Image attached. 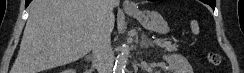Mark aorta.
<instances>
[{
  "mask_svg": "<svg viewBox=\"0 0 244 73\" xmlns=\"http://www.w3.org/2000/svg\"><path fill=\"white\" fill-rule=\"evenodd\" d=\"M130 49L129 45H124L121 48V53L117 56L115 65H114V73H124L125 67L127 63V58L129 56Z\"/></svg>",
  "mask_w": 244,
  "mask_h": 73,
  "instance_id": "762f6f07",
  "label": "aorta"
}]
</instances>
